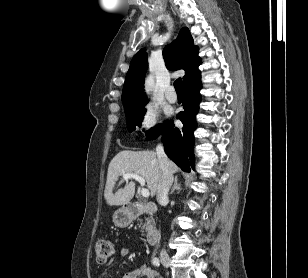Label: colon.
<instances>
[{"mask_svg": "<svg viewBox=\"0 0 308 278\" xmlns=\"http://www.w3.org/2000/svg\"><path fill=\"white\" fill-rule=\"evenodd\" d=\"M114 253V245L108 239H101L95 245V254L99 263L106 262Z\"/></svg>", "mask_w": 308, "mask_h": 278, "instance_id": "1", "label": "colon"}]
</instances>
